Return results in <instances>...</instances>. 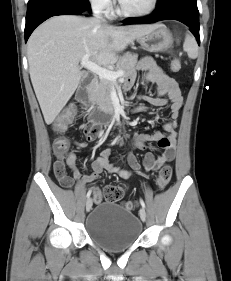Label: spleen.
<instances>
[{
    "label": "spleen",
    "mask_w": 231,
    "mask_h": 281,
    "mask_svg": "<svg viewBox=\"0 0 231 281\" xmlns=\"http://www.w3.org/2000/svg\"><path fill=\"white\" fill-rule=\"evenodd\" d=\"M183 49L188 54L189 58H191V59L197 58L198 46H197L195 38L192 35H190V34L186 35L185 41L183 44Z\"/></svg>",
    "instance_id": "3e777b00"
}]
</instances>
